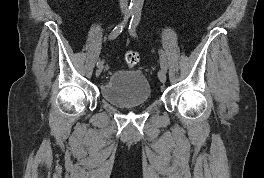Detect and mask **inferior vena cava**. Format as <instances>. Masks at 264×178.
Listing matches in <instances>:
<instances>
[{
  "mask_svg": "<svg viewBox=\"0 0 264 178\" xmlns=\"http://www.w3.org/2000/svg\"><path fill=\"white\" fill-rule=\"evenodd\" d=\"M119 5L122 12H126L128 10V0H119Z\"/></svg>",
  "mask_w": 264,
  "mask_h": 178,
  "instance_id": "602c4592",
  "label": "inferior vena cava"
}]
</instances>
